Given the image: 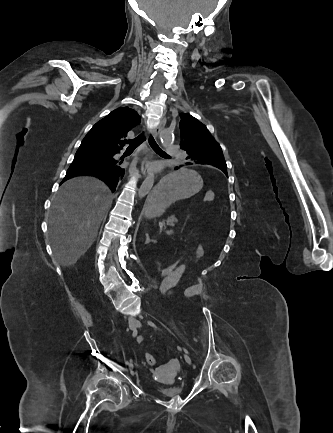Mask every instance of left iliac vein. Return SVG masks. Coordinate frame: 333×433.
I'll use <instances>...</instances> for the list:
<instances>
[{
    "label": "left iliac vein",
    "mask_w": 333,
    "mask_h": 433,
    "mask_svg": "<svg viewBox=\"0 0 333 433\" xmlns=\"http://www.w3.org/2000/svg\"><path fill=\"white\" fill-rule=\"evenodd\" d=\"M136 325L140 327V326H141V323H140V322H137ZM184 359H185V361H186L188 364H191V363H192L190 357H189L187 354H184Z\"/></svg>",
    "instance_id": "4c4485c4"
}]
</instances>
